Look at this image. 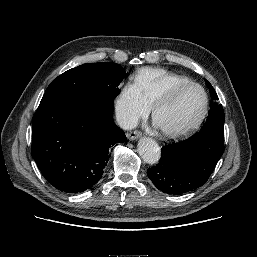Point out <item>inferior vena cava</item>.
Instances as JSON below:
<instances>
[{"instance_id": "inferior-vena-cava-1", "label": "inferior vena cava", "mask_w": 257, "mask_h": 257, "mask_svg": "<svg viewBox=\"0 0 257 257\" xmlns=\"http://www.w3.org/2000/svg\"><path fill=\"white\" fill-rule=\"evenodd\" d=\"M116 120L124 130H132L138 124V118L135 115L121 110L116 111Z\"/></svg>"}]
</instances>
